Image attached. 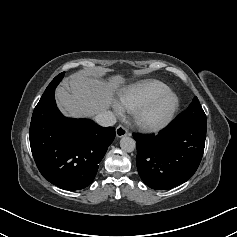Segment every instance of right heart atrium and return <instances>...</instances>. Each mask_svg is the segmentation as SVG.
I'll return each instance as SVG.
<instances>
[{
	"mask_svg": "<svg viewBox=\"0 0 237 237\" xmlns=\"http://www.w3.org/2000/svg\"><path fill=\"white\" fill-rule=\"evenodd\" d=\"M113 108L117 115L124 114V109L121 107V105L118 102L113 104Z\"/></svg>",
	"mask_w": 237,
	"mask_h": 237,
	"instance_id": "d8ad5b80",
	"label": "right heart atrium"
}]
</instances>
